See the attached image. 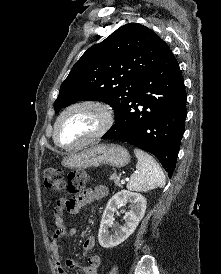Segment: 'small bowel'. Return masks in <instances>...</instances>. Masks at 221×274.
Masks as SVG:
<instances>
[{"label": "small bowel", "instance_id": "obj_1", "mask_svg": "<svg viewBox=\"0 0 221 274\" xmlns=\"http://www.w3.org/2000/svg\"><path fill=\"white\" fill-rule=\"evenodd\" d=\"M107 194L108 190L105 186H98L95 189L85 191L82 195L76 198H61L57 200L53 209L54 225L56 230L52 235L51 250L58 274H67L66 267L72 268L77 266L71 259H67L65 261L62 259V241L76 234V228L68 225L65 219V212L76 215L82 207L87 204L97 202L98 200L106 197ZM95 244L96 241L93 236L87 237L84 241L83 249L87 258V264L83 266L85 274H99L98 269L101 265V257L97 254H90V252L94 249Z\"/></svg>", "mask_w": 221, "mask_h": 274}]
</instances>
